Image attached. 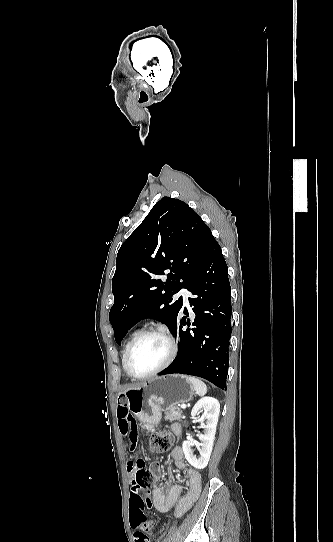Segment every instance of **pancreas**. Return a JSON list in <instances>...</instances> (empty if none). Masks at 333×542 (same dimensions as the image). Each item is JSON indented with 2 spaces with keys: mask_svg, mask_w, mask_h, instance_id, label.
<instances>
[{
  "mask_svg": "<svg viewBox=\"0 0 333 542\" xmlns=\"http://www.w3.org/2000/svg\"><path fill=\"white\" fill-rule=\"evenodd\" d=\"M182 414V410L180 408H170L168 412H165V420H169V422H174V420H180Z\"/></svg>",
  "mask_w": 333,
  "mask_h": 542,
  "instance_id": "pancreas-1",
  "label": "pancreas"
}]
</instances>
